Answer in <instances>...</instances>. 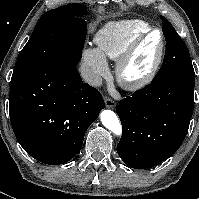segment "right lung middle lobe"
Returning <instances> with one entry per match:
<instances>
[{
	"mask_svg": "<svg viewBox=\"0 0 199 199\" xmlns=\"http://www.w3.org/2000/svg\"><path fill=\"white\" fill-rule=\"evenodd\" d=\"M86 13L83 4H68L44 13L22 49L14 67L10 85L56 60L77 66L86 38Z\"/></svg>",
	"mask_w": 199,
	"mask_h": 199,
	"instance_id": "1",
	"label": "right lung middle lobe"
}]
</instances>
